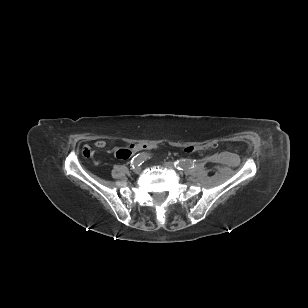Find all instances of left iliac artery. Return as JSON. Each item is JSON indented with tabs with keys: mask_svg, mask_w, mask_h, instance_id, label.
<instances>
[{
	"mask_svg": "<svg viewBox=\"0 0 308 308\" xmlns=\"http://www.w3.org/2000/svg\"><path fill=\"white\" fill-rule=\"evenodd\" d=\"M175 168L178 170H185L189 168H194L195 163L192 160L189 159H181L174 162Z\"/></svg>",
	"mask_w": 308,
	"mask_h": 308,
	"instance_id": "left-iliac-artery-1",
	"label": "left iliac artery"
}]
</instances>
